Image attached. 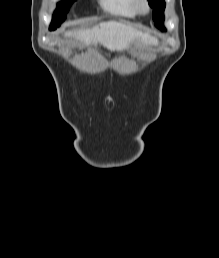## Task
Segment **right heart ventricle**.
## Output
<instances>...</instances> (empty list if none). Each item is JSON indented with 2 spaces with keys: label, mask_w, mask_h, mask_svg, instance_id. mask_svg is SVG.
I'll list each match as a JSON object with an SVG mask.
<instances>
[{
  "label": "right heart ventricle",
  "mask_w": 219,
  "mask_h": 258,
  "mask_svg": "<svg viewBox=\"0 0 219 258\" xmlns=\"http://www.w3.org/2000/svg\"><path fill=\"white\" fill-rule=\"evenodd\" d=\"M98 3L111 16L133 19L139 14L136 0H98Z\"/></svg>",
  "instance_id": "1"
}]
</instances>
